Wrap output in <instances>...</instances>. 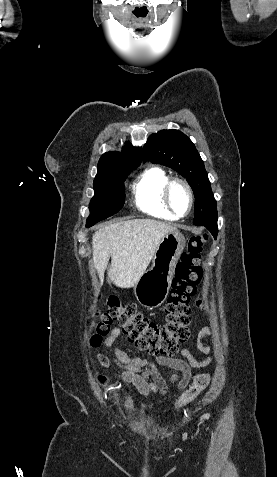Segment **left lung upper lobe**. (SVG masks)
<instances>
[{"instance_id":"5c2ea615","label":"left lung upper lobe","mask_w":277,"mask_h":477,"mask_svg":"<svg viewBox=\"0 0 277 477\" xmlns=\"http://www.w3.org/2000/svg\"><path fill=\"white\" fill-rule=\"evenodd\" d=\"M143 160L168 166L187 179L196 198L195 225L217 221L210 181L203 160L189 137L174 129L152 134L144 146Z\"/></svg>"}]
</instances>
